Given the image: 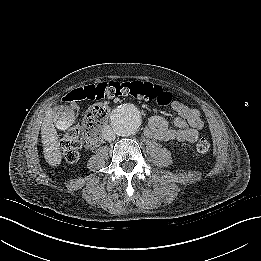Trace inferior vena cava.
Returning a JSON list of instances; mask_svg holds the SVG:
<instances>
[{"instance_id":"inferior-vena-cava-1","label":"inferior vena cava","mask_w":261,"mask_h":261,"mask_svg":"<svg viewBox=\"0 0 261 261\" xmlns=\"http://www.w3.org/2000/svg\"><path fill=\"white\" fill-rule=\"evenodd\" d=\"M102 136L106 141H113L116 138L115 132L113 131L112 127L106 126L102 131Z\"/></svg>"}]
</instances>
